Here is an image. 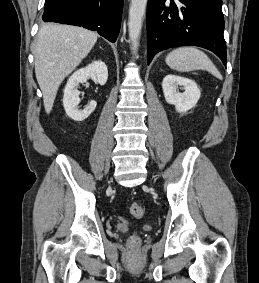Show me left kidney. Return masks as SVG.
Wrapping results in <instances>:
<instances>
[{"label": "left kidney", "instance_id": "left-kidney-1", "mask_svg": "<svg viewBox=\"0 0 259 283\" xmlns=\"http://www.w3.org/2000/svg\"><path fill=\"white\" fill-rule=\"evenodd\" d=\"M178 86H181L184 92H179ZM162 89L166 102L175 105L176 111L179 113L193 108L201 96L200 90L193 80L176 75L164 77Z\"/></svg>", "mask_w": 259, "mask_h": 283}]
</instances>
